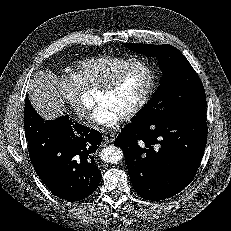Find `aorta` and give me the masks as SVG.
Wrapping results in <instances>:
<instances>
[{
  "label": "aorta",
  "instance_id": "aorta-1",
  "mask_svg": "<svg viewBox=\"0 0 231 231\" xmlns=\"http://www.w3.org/2000/svg\"><path fill=\"white\" fill-rule=\"evenodd\" d=\"M101 159L106 163L117 164L123 159V152L117 146H107L101 150Z\"/></svg>",
  "mask_w": 231,
  "mask_h": 231
}]
</instances>
